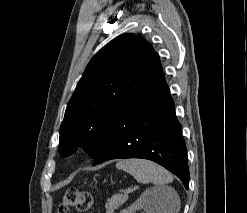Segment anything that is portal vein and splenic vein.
<instances>
[{"label": "portal vein and splenic vein", "instance_id": "portal-vein-and-splenic-vein-1", "mask_svg": "<svg viewBox=\"0 0 247 213\" xmlns=\"http://www.w3.org/2000/svg\"><path fill=\"white\" fill-rule=\"evenodd\" d=\"M133 192L132 188H128L124 191V195H128L129 193Z\"/></svg>", "mask_w": 247, "mask_h": 213}]
</instances>
